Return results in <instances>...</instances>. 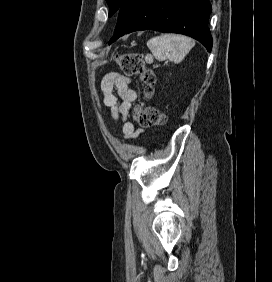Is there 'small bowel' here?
I'll return each instance as SVG.
<instances>
[{
  "label": "small bowel",
  "mask_w": 272,
  "mask_h": 282,
  "mask_svg": "<svg viewBox=\"0 0 272 282\" xmlns=\"http://www.w3.org/2000/svg\"><path fill=\"white\" fill-rule=\"evenodd\" d=\"M130 84L131 79L128 76L117 72L108 73L101 82L104 104L110 109L112 120L122 124L125 138H134L142 131L128 121L131 105L137 97L136 90Z\"/></svg>",
  "instance_id": "1"
}]
</instances>
